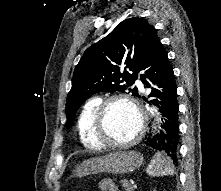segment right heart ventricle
<instances>
[{
	"label": "right heart ventricle",
	"mask_w": 221,
	"mask_h": 191,
	"mask_svg": "<svg viewBox=\"0 0 221 191\" xmlns=\"http://www.w3.org/2000/svg\"><path fill=\"white\" fill-rule=\"evenodd\" d=\"M101 102L102 99L97 96L88 99L82 106L77 119V131L80 141L87 148L102 147L94 133L95 114Z\"/></svg>",
	"instance_id": "right-heart-ventricle-1"
}]
</instances>
